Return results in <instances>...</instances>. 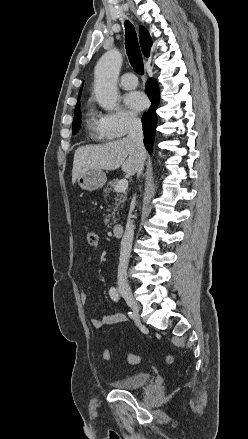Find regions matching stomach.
Instances as JSON below:
<instances>
[{
	"label": "stomach",
	"instance_id": "0dacf381",
	"mask_svg": "<svg viewBox=\"0 0 248 439\" xmlns=\"http://www.w3.org/2000/svg\"><path fill=\"white\" fill-rule=\"evenodd\" d=\"M106 174L102 170H90L78 177L79 186L87 191L102 188L106 183Z\"/></svg>",
	"mask_w": 248,
	"mask_h": 439
}]
</instances>
